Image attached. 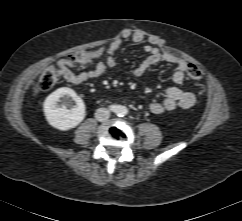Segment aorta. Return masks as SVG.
I'll return each mask as SVG.
<instances>
[{
    "label": "aorta",
    "mask_w": 242,
    "mask_h": 221,
    "mask_svg": "<svg viewBox=\"0 0 242 221\" xmlns=\"http://www.w3.org/2000/svg\"><path fill=\"white\" fill-rule=\"evenodd\" d=\"M115 112L118 116H124L128 113V109L126 106L119 105L116 107Z\"/></svg>",
    "instance_id": "aorta-1"
}]
</instances>
